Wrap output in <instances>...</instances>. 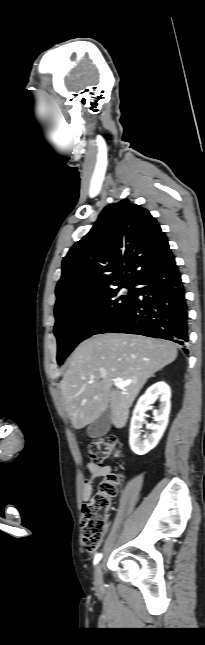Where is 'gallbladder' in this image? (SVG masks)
<instances>
[{
  "label": "gallbladder",
  "mask_w": 205,
  "mask_h": 645,
  "mask_svg": "<svg viewBox=\"0 0 205 645\" xmlns=\"http://www.w3.org/2000/svg\"><path fill=\"white\" fill-rule=\"evenodd\" d=\"M111 425V409L108 407L98 419L87 428V435L98 438L107 434Z\"/></svg>",
  "instance_id": "gallbladder-1"
}]
</instances>
